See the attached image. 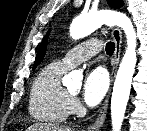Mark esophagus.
Segmentation results:
<instances>
[{"instance_id":"obj_1","label":"esophagus","mask_w":147,"mask_h":131,"mask_svg":"<svg viewBox=\"0 0 147 131\" xmlns=\"http://www.w3.org/2000/svg\"><path fill=\"white\" fill-rule=\"evenodd\" d=\"M112 36L115 42V50H114V56L111 62L112 65V71H111V83L113 82L117 67L120 61V54H121V46H122V33L119 28H113L112 29ZM109 97H110V91L108 92L106 99L103 103L102 108L100 109V112L98 114V117L96 118L95 122L88 127L86 131H99L101 126L103 125L105 118H106V113L108 109V103H109Z\"/></svg>"}]
</instances>
